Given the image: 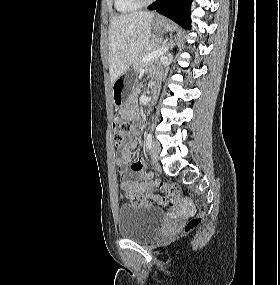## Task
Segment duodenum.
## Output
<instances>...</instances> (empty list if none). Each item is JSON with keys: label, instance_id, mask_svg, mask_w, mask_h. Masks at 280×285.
Listing matches in <instances>:
<instances>
[{"label": "duodenum", "instance_id": "1", "mask_svg": "<svg viewBox=\"0 0 280 285\" xmlns=\"http://www.w3.org/2000/svg\"><path fill=\"white\" fill-rule=\"evenodd\" d=\"M151 93H152V98L154 100H156L158 95H159V87H158V84L155 81L152 83Z\"/></svg>", "mask_w": 280, "mask_h": 285}]
</instances>
